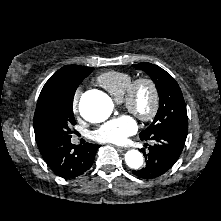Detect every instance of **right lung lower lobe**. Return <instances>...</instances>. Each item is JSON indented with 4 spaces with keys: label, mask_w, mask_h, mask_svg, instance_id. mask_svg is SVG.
<instances>
[{
    "label": "right lung lower lobe",
    "mask_w": 221,
    "mask_h": 221,
    "mask_svg": "<svg viewBox=\"0 0 221 221\" xmlns=\"http://www.w3.org/2000/svg\"><path fill=\"white\" fill-rule=\"evenodd\" d=\"M98 148V145L91 143L73 145L68 140L48 142L39 147V151L58 176L70 179L83 174L92 166Z\"/></svg>",
    "instance_id": "98d812e1"
}]
</instances>
